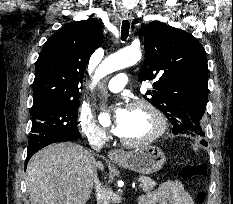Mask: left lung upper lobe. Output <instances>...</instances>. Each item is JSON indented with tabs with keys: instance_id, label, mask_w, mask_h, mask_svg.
I'll return each instance as SVG.
<instances>
[{
	"instance_id": "obj_1",
	"label": "left lung upper lobe",
	"mask_w": 233,
	"mask_h": 204,
	"mask_svg": "<svg viewBox=\"0 0 233 204\" xmlns=\"http://www.w3.org/2000/svg\"><path fill=\"white\" fill-rule=\"evenodd\" d=\"M144 47L139 81L155 80L145 98L169 119L173 134L204 137L208 65L203 46L186 31L153 21L144 30Z\"/></svg>"
}]
</instances>
